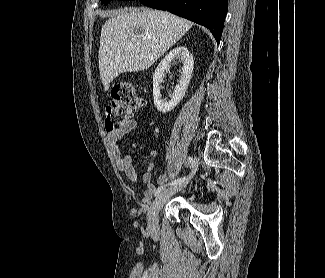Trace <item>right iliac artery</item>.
Returning <instances> with one entry per match:
<instances>
[{
    "instance_id": "1",
    "label": "right iliac artery",
    "mask_w": 325,
    "mask_h": 278,
    "mask_svg": "<svg viewBox=\"0 0 325 278\" xmlns=\"http://www.w3.org/2000/svg\"><path fill=\"white\" fill-rule=\"evenodd\" d=\"M188 162L190 164V167L191 168H194L195 166V161L193 158L189 157L188 158ZM186 180V177H183V178H178V179H175L173 181H171L169 184H166V185H161L160 187H158V189L156 190L155 192V196L159 195L164 189L166 186L168 185H177V184H181L183 183L184 181Z\"/></svg>"
}]
</instances>
